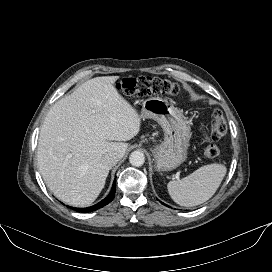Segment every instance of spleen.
<instances>
[{
    "label": "spleen",
    "instance_id": "3e777b00",
    "mask_svg": "<svg viewBox=\"0 0 272 272\" xmlns=\"http://www.w3.org/2000/svg\"><path fill=\"white\" fill-rule=\"evenodd\" d=\"M226 171L222 164L202 166L181 180L170 181L167 185L169 195L180 206L202 204L215 194Z\"/></svg>",
    "mask_w": 272,
    "mask_h": 272
}]
</instances>
